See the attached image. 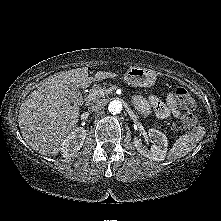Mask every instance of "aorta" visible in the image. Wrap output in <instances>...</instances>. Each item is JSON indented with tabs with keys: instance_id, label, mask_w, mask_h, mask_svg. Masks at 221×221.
Instances as JSON below:
<instances>
[{
	"instance_id": "obj_1",
	"label": "aorta",
	"mask_w": 221,
	"mask_h": 221,
	"mask_svg": "<svg viewBox=\"0 0 221 221\" xmlns=\"http://www.w3.org/2000/svg\"><path fill=\"white\" fill-rule=\"evenodd\" d=\"M122 103L119 100H113L109 103L108 110L111 114L116 115L122 111Z\"/></svg>"
}]
</instances>
